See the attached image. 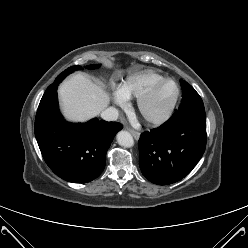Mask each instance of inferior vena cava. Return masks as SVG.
<instances>
[{
  "label": "inferior vena cava",
  "mask_w": 248,
  "mask_h": 248,
  "mask_svg": "<svg viewBox=\"0 0 248 248\" xmlns=\"http://www.w3.org/2000/svg\"><path fill=\"white\" fill-rule=\"evenodd\" d=\"M119 117V111L114 107H109L101 112V118L106 121H115Z\"/></svg>",
  "instance_id": "obj_1"
}]
</instances>
